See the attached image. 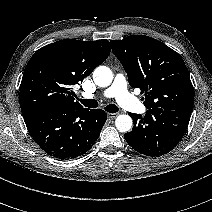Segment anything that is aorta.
Returning <instances> with one entry per match:
<instances>
[{"mask_svg":"<svg viewBox=\"0 0 212 212\" xmlns=\"http://www.w3.org/2000/svg\"><path fill=\"white\" fill-rule=\"evenodd\" d=\"M93 80L100 87H107L113 80L112 71L106 66H98L93 71ZM132 118L127 114L117 116L115 126L120 132H128L132 128Z\"/></svg>","mask_w":212,"mask_h":212,"instance_id":"762f6f07","label":"aorta"}]
</instances>
